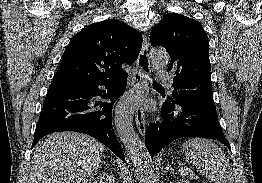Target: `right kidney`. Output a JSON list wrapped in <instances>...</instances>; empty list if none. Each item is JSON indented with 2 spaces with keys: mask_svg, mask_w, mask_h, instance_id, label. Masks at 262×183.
I'll return each instance as SVG.
<instances>
[{
  "mask_svg": "<svg viewBox=\"0 0 262 183\" xmlns=\"http://www.w3.org/2000/svg\"><path fill=\"white\" fill-rule=\"evenodd\" d=\"M115 183L114 182V177L113 176H108L105 177V174L103 177H100V183ZM94 183H97V182H94Z\"/></svg>",
  "mask_w": 262,
  "mask_h": 183,
  "instance_id": "ca27d5eb",
  "label": "right kidney"
}]
</instances>
